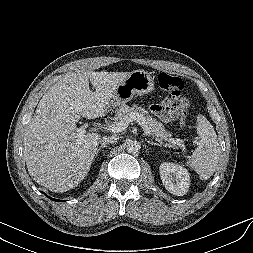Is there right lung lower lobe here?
I'll list each match as a JSON object with an SVG mask.
<instances>
[{
  "label": "right lung lower lobe",
  "instance_id": "1",
  "mask_svg": "<svg viewBox=\"0 0 253 253\" xmlns=\"http://www.w3.org/2000/svg\"><path fill=\"white\" fill-rule=\"evenodd\" d=\"M47 196V195H46ZM48 198H50L51 200H53V201H60V200H57V199H54V198H51V197H49V196H47Z\"/></svg>",
  "mask_w": 253,
  "mask_h": 253
}]
</instances>
